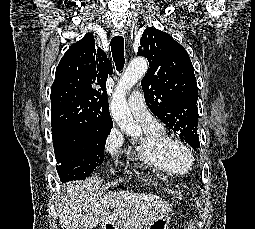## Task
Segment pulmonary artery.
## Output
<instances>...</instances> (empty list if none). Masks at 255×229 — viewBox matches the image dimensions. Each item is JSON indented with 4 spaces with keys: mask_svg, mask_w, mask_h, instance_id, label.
Listing matches in <instances>:
<instances>
[{
    "mask_svg": "<svg viewBox=\"0 0 255 229\" xmlns=\"http://www.w3.org/2000/svg\"><path fill=\"white\" fill-rule=\"evenodd\" d=\"M129 108L140 125L148 127L159 126L160 123L149 113L140 91H133L128 98Z\"/></svg>",
    "mask_w": 255,
    "mask_h": 229,
    "instance_id": "e3ab8cb5",
    "label": "pulmonary artery"
}]
</instances>
